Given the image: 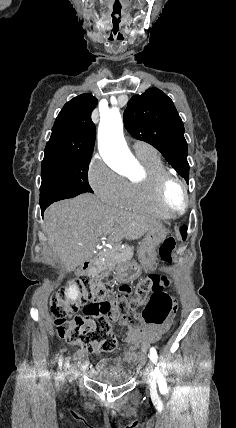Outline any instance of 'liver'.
<instances>
[{
  "instance_id": "obj_1",
  "label": "liver",
  "mask_w": 236,
  "mask_h": 428,
  "mask_svg": "<svg viewBox=\"0 0 236 428\" xmlns=\"http://www.w3.org/2000/svg\"><path fill=\"white\" fill-rule=\"evenodd\" d=\"M48 246L71 272L93 258L101 238L108 242L139 240L157 224L148 216L119 212L105 206L94 194L55 202L44 214Z\"/></svg>"
}]
</instances>
